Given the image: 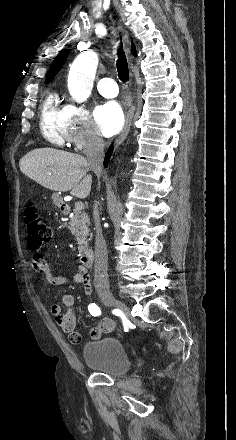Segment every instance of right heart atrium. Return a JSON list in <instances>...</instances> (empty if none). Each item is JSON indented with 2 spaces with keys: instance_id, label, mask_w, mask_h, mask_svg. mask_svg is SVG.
I'll use <instances>...</instances> for the list:
<instances>
[{
  "instance_id": "obj_1",
  "label": "right heart atrium",
  "mask_w": 236,
  "mask_h": 440,
  "mask_svg": "<svg viewBox=\"0 0 236 440\" xmlns=\"http://www.w3.org/2000/svg\"><path fill=\"white\" fill-rule=\"evenodd\" d=\"M66 142L77 151L90 152L101 148L103 141L92 121L89 111L74 103L64 106Z\"/></svg>"
}]
</instances>
